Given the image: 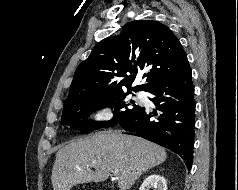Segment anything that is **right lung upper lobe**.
Here are the masks:
<instances>
[{
	"label": "right lung upper lobe",
	"instance_id": "obj_1",
	"mask_svg": "<svg viewBox=\"0 0 238 190\" xmlns=\"http://www.w3.org/2000/svg\"><path fill=\"white\" fill-rule=\"evenodd\" d=\"M186 62L181 43L166 25L153 20L130 22L120 35L99 42L78 66L64 107L82 94L148 92L180 72ZM141 72L146 82L131 87Z\"/></svg>",
	"mask_w": 238,
	"mask_h": 190
}]
</instances>
